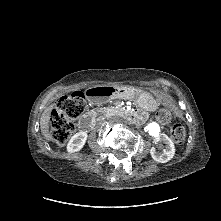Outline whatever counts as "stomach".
Here are the masks:
<instances>
[{"label":"stomach","instance_id":"1","mask_svg":"<svg viewBox=\"0 0 221 221\" xmlns=\"http://www.w3.org/2000/svg\"><path fill=\"white\" fill-rule=\"evenodd\" d=\"M123 90H124V96L136 100L146 108L154 107L157 104V101L149 92L138 90L131 87L124 88Z\"/></svg>","mask_w":221,"mask_h":221}]
</instances>
